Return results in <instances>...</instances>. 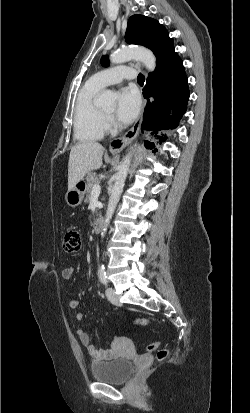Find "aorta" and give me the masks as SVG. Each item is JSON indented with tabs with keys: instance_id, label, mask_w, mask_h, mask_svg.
I'll use <instances>...</instances> for the list:
<instances>
[{
	"instance_id": "obj_1",
	"label": "aorta",
	"mask_w": 250,
	"mask_h": 413,
	"mask_svg": "<svg viewBox=\"0 0 250 413\" xmlns=\"http://www.w3.org/2000/svg\"><path fill=\"white\" fill-rule=\"evenodd\" d=\"M131 59L141 61L149 71H154L156 68V58L154 54L149 49H146L144 47L123 48L110 55V61L113 64H121ZM115 100L116 94L113 91L105 90L99 99V103L104 107H112L115 104ZM130 163L131 154H128L124 157L120 165L119 171L116 175V181L109 197L108 208L101 232L102 237H104L107 232L110 220L120 199Z\"/></svg>"
}]
</instances>
